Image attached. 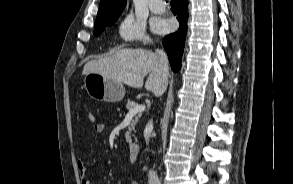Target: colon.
I'll return each instance as SVG.
<instances>
[{"label":"colon","instance_id":"1","mask_svg":"<svg viewBox=\"0 0 293 184\" xmlns=\"http://www.w3.org/2000/svg\"><path fill=\"white\" fill-rule=\"evenodd\" d=\"M95 119H96L95 114L92 112H89L88 113V120L93 123V122H95Z\"/></svg>","mask_w":293,"mask_h":184}]
</instances>
